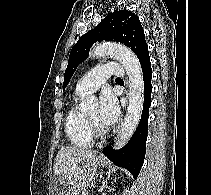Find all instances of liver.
I'll list each match as a JSON object with an SVG mask.
<instances>
[{
	"label": "liver",
	"instance_id": "1",
	"mask_svg": "<svg viewBox=\"0 0 211 195\" xmlns=\"http://www.w3.org/2000/svg\"><path fill=\"white\" fill-rule=\"evenodd\" d=\"M96 152L75 146H64L56 155L54 174L67 182L60 194L77 195L84 191L96 173ZM67 192V194H66Z\"/></svg>",
	"mask_w": 211,
	"mask_h": 195
}]
</instances>
